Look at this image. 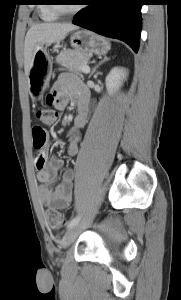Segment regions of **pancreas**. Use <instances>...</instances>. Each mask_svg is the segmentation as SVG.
Returning <instances> with one entry per match:
<instances>
[{"label":"pancreas","instance_id":"obj_1","mask_svg":"<svg viewBox=\"0 0 181 300\" xmlns=\"http://www.w3.org/2000/svg\"><path fill=\"white\" fill-rule=\"evenodd\" d=\"M90 55L82 53L77 50L62 51L57 57L56 62L75 72H82L81 67L89 62Z\"/></svg>","mask_w":181,"mask_h":300}]
</instances>
